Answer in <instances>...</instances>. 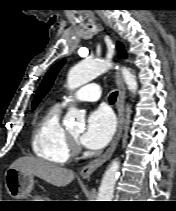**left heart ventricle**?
I'll list each match as a JSON object with an SVG mask.
<instances>
[{
  "label": "left heart ventricle",
  "instance_id": "left-heart-ventricle-1",
  "mask_svg": "<svg viewBox=\"0 0 176 211\" xmlns=\"http://www.w3.org/2000/svg\"><path fill=\"white\" fill-rule=\"evenodd\" d=\"M69 132L74 136V137H78L80 135V130L79 129H73V130H69Z\"/></svg>",
  "mask_w": 176,
  "mask_h": 211
}]
</instances>
